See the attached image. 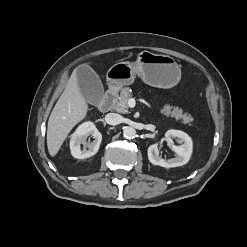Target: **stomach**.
Instances as JSON below:
<instances>
[{"label":"stomach","mask_w":247,"mask_h":247,"mask_svg":"<svg viewBox=\"0 0 247 247\" xmlns=\"http://www.w3.org/2000/svg\"><path fill=\"white\" fill-rule=\"evenodd\" d=\"M139 76L146 84L158 88H171L181 78V69L174 58L168 55L143 51L136 62H119L107 71L111 89L118 90L134 82Z\"/></svg>","instance_id":"0dacf381"}]
</instances>
